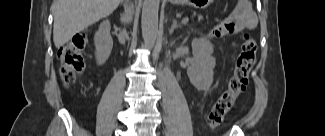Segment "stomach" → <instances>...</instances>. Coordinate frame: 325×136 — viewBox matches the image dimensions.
Listing matches in <instances>:
<instances>
[{"label": "stomach", "mask_w": 325, "mask_h": 136, "mask_svg": "<svg viewBox=\"0 0 325 136\" xmlns=\"http://www.w3.org/2000/svg\"><path fill=\"white\" fill-rule=\"evenodd\" d=\"M213 0H171L173 4L188 5L194 8H206Z\"/></svg>", "instance_id": "obj_1"}]
</instances>
